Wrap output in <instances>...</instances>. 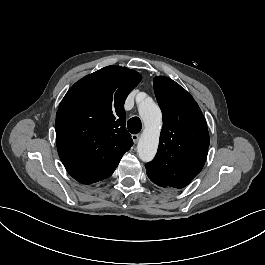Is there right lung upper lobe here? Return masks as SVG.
<instances>
[{"label": "right lung upper lobe", "mask_w": 265, "mask_h": 265, "mask_svg": "<svg viewBox=\"0 0 265 265\" xmlns=\"http://www.w3.org/2000/svg\"><path fill=\"white\" fill-rule=\"evenodd\" d=\"M141 75L107 66L76 82L62 99L55 122L62 162H118L133 145L125 128L124 102Z\"/></svg>", "instance_id": "right-lung-upper-lobe-1"}]
</instances>
